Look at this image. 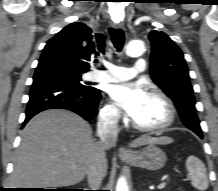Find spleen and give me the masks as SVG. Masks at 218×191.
<instances>
[{"label": "spleen", "instance_id": "3e777b00", "mask_svg": "<svg viewBox=\"0 0 218 191\" xmlns=\"http://www.w3.org/2000/svg\"><path fill=\"white\" fill-rule=\"evenodd\" d=\"M186 169L194 188L204 191L208 188L206 168L203 162L195 156H189L186 160Z\"/></svg>", "mask_w": 218, "mask_h": 191}]
</instances>
